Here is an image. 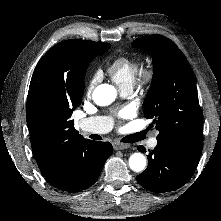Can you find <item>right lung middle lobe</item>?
I'll return each mask as SVG.
<instances>
[{
  "label": "right lung middle lobe",
  "mask_w": 221,
  "mask_h": 221,
  "mask_svg": "<svg viewBox=\"0 0 221 221\" xmlns=\"http://www.w3.org/2000/svg\"><path fill=\"white\" fill-rule=\"evenodd\" d=\"M110 48L109 43L92 42L89 47L83 50L77 57V62L82 69L79 87L84 91V76L86 74L89 63L95 59L96 56L106 52Z\"/></svg>",
  "instance_id": "right-lung-middle-lobe-1"
}]
</instances>
